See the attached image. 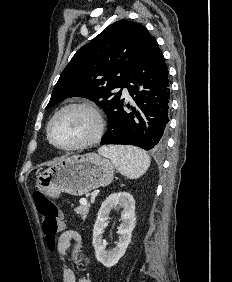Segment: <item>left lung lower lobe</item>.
<instances>
[{"instance_id":"obj_1","label":"left lung lower lobe","mask_w":232,"mask_h":282,"mask_svg":"<svg viewBox=\"0 0 232 282\" xmlns=\"http://www.w3.org/2000/svg\"><path fill=\"white\" fill-rule=\"evenodd\" d=\"M164 56L154 39L148 44L141 60L122 83L134 100L131 113L119 102L107 114L108 130L101 145H134L145 150H160L167 140L170 85ZM121 93V91H120Z\"/></svg>"}]
</instances>
